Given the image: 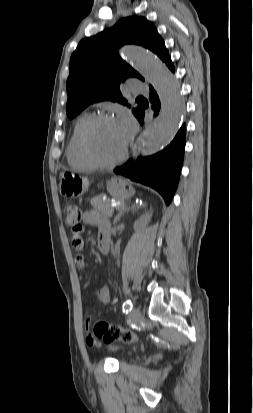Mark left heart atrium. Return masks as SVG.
I'll list each match as a JSON object with an SVG mask.
<instances>
[{
	"instance_id": "1",
	"label": "left heart atrium",
	"mask_w": 253,
	"mask_h": 413,
	"mask_svg": "<svg viewBox=\"0 0 253 413\" xmlns=\"http://www.w3.org/2000/svg\"><path fill=\"white\" fill-rule=\"evenodd\" d=\"M118 124L122 131L125 143H127L134 132L133 120L129 115L125 114Z\"/></svg>"
}]
</instances>
